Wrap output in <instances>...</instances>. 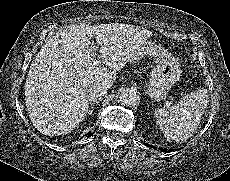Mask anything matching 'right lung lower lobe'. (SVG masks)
<instances>
[{
    "mask_svg": "<svg viewBox=\"0 0 230 181\" xmlns=\"http://www.w3.org/2000/svg\"><path fill=\"white\" fill-rule=\"evenodd\" d=\"M92 135H93V134L90 133V132H89L88 134H86L87 137H91Z\"/></svg>",
    "mask_w": 230,
    "mask_h": 181,
    "instance_id": "98d812e1",
    "label": "right lung lower lobe"
}]
</instances>
